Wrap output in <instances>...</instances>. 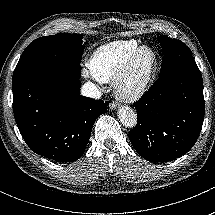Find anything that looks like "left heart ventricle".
Masks as SVG:
<instances>
[{
  "label": "left heart ventricle",
  "mask_w": 215,
  "mask_h": 215,
  "mask_svg": "<svg viewBox=\"0 0 215 215\" xmlns=\"http://www.w3.org/2000/svg\"><path fill=\"white\" fill-rule=\"evenodd\" d=\"M150 59H151V52L149 50H144L140 53L138 60H137L135 71L130 79V83H133L136 80L140 69L145 64H147L150 61Z\"/></svg>",
  "instance_id": "b2bd125f"
}]
</instances>
